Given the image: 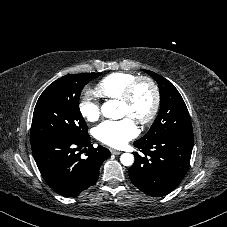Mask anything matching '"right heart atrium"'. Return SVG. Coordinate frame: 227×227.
I'll use <instances>...</instances> for the list:
<instances>
[{"label":"right heart atrium","instance_id":"obj_1","mask_svg":"<svg viewBox=\"0 0 227 227\" xmlns=\"http://www.w3.org/2000/svg\"><path fill=\"white\" fill-rule=\"evenodd\" d=\"M81 116L87 121H96L101 115V104L96 94L87 92L82 95L78 104Z\"/></svg>","mask_w":227,"mask_h":227}]
</instances>
